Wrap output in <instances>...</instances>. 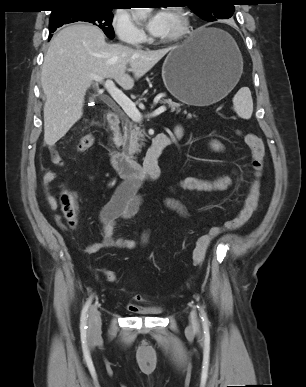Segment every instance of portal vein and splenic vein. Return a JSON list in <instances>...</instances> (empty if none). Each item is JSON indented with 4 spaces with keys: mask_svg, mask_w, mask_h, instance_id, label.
I'll list each match as a JSON object with an SVG mask.
<instances>
[{
    "mask_svg": "<svg viewBox=\"0 0 306 387\" xmlns=\"http://www.w3.org/2000/svg\"><path fill=\"white\" fill-rule=\"evenodd\" d=\"M93 79L104 85L107 92L113 98V100L123 109L126 115L134 122H141L143 119L142 114L137 109L136 105L121 91L119 90L111 79L104 81L103 78L94 76ZM166 111L165 106H160L154 110L148 117H155Z\"/></svg>",
    "mask_w": 306,
    "mask_h": 387,
    "instance_id": "portal-vein-and-splenic-vein-1",
    "label": "portal vein and splenic vein"
}]
</instances>
